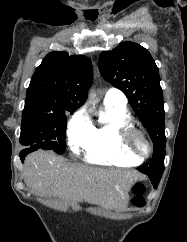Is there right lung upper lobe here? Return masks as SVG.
Segmentation results:
<instances>
[{"instance_id": "cb5924a9", "label": "right lung upper lobe", "mask_w": 187, "mask_h": 242, "mask_svg": "<svg viewBox=\"0 0 187 242\" xmlns=\"http://www.w3.org/2000/svg\"><path fill=\"white\" fill-rule=\"evenodd\" d=\"M92 77V65L85 56L51 52L35 70L23 111L74 112L85 103Z\"/></svg>"}]
</instances>
